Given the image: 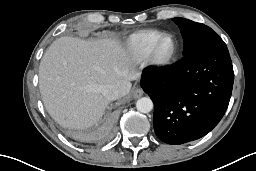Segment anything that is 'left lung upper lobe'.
I'll use <instances>...</instances> for the list:
<instances>
[{
	"mask_svg": "<svg viewBox=\"0 0 256 171\" xmlns=\"http://www.w3.org/2000/svg\"><path fill=\"white\" fill-rule=\"evenodd\" d=\"M184 39V52L187 55L206 47L226 46L224 41L208 26L184 18H174Z\"/></svg>",
	"mask_w": 256,
	"mask_h": 171,
	"instance_id": "obj_1",
	"label": "left lung upper lobe"
}]
</instances>
